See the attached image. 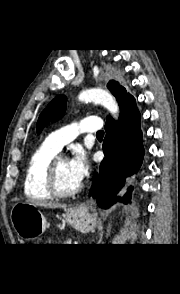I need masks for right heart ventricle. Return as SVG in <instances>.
Returning a JSON list of instances; mask_svg holds the SVG:
<instances>
[{
    "label": "right heart ventricle",
    "instance_id": "e07e8e85",
    "mask_svg": "<svg viewBox=\"0 0 180 294\" xmlns=\"http://www.w3.org/2000/svg\"><path fill=\"white\" fill-rule=\"evenodd\" d=\"M57 152L44 143L31 155L24 179V193L37 200H51L53 197L45 188V174Z\"/></svg>",
    "mask_w": 180,
    "mask_h": 294
}]
</instances>
